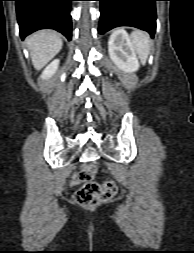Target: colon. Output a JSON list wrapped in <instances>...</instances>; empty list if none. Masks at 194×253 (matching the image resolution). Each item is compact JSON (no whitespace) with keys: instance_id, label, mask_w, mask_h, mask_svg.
Wrapping results in <instances>:
<instances>
[{"instance_id":"5ec220e1","label":"colon","mask_w":194,"mask_h":253,"mask_svg":"<svg viewBox=\"0 0 194 253\" xmlns=\"http://www.w3.org/2000/svg\"><path fill=\"white\" fill-rule=\"evenodd\" d=\"M95 171L92 165H85L80 171L79 178L85 184L75 192L74 200L81 206H95L107 201L116 193L117 188L113 181L109 180L101 184L91 181Z\"/></svg>"}]
</instances>
